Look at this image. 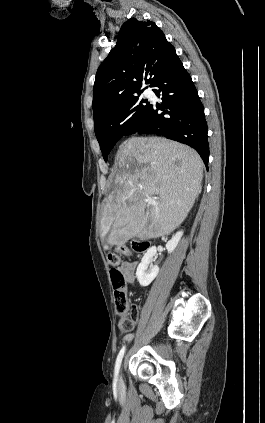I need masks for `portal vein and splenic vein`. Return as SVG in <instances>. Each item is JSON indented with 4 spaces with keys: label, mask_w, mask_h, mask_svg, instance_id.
<instances>
[{
    "label": "portal vein and splenic vein",
    "mask_w": 265,
    "mask_h": 423,
    "mask_svg": "<svg viewBox=\"0 0 265 423\" xmlns=\"http://www.w3.org/2000/svg\"><path fill=\"white\" fill-rule=\"evenodd\" d=\"M146 202L149 204V205H158V201L156 200V198H154V197H147L146 198Z\"/></svg>",
    "instance_id": "1"
}]
</instances>
